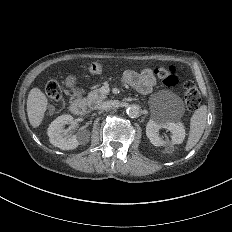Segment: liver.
<instances>
[{
    "mask_svg": "<svg viewBox=\"0 0 232 232\" xmlns=\"http://www.w3.org/2000/svg\"><path fill=\"white\" fill-rule=\"evenodd\" d=\"M47 105L45 94L38 88L31 89L27 99V114L29 122L34 128L41 124Z\"/></svg>",
    "mask_w": 232,
    "mask_h": 232,
    "instance_id": "obj_1",
    "label": "liver"
}]
</instances>
